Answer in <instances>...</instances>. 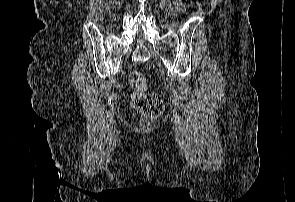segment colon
<instances>
[{"mask_svg":"<svg viewBox=\"0 0 295 202\" xmlns=\"http://www.w3.org/2000/svg\"><path fill=\"white\" fill-rule=\"evenodd\" d=\"M129 83L134 88L132 102L134 108L148 118H156L164 109L162 98L157 94H149L147 79L140 71L133 70L129 73Z\"/></svg>","mask_w":295,"mask_h":202,"instance_id":"colon-1","label":"colon"}]
</instances>
